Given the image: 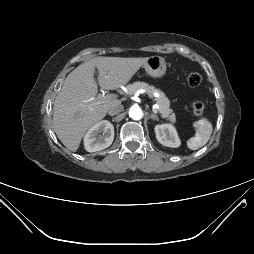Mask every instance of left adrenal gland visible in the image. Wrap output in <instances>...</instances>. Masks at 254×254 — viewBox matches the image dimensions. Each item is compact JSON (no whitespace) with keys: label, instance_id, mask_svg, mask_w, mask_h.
<instances>
[{"label":"left adrenal gland","instance_id":"1","mask_svg":"<svg viewBox=\"0 0 254 254\" xmlns=\"http://www.w3.org/2000/svg\"><path fill=\"white\" fill-rule=\"evenodd\" d=\"M150 118L152 119V120H159V117L156 115V114H154V113H151L150 114Z\"/></svg>","mask_w":254,"mask_h":254}]
</instances>
